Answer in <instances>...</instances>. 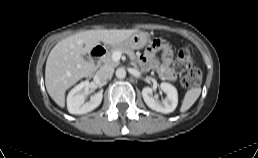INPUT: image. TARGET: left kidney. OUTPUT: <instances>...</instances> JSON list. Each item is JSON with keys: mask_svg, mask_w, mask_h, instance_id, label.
<instances>
[{"mask_svg": "<svg viewBox=\"0 0 258 158\" xmlns=\"http://www.w3.org/2000/svg\"><path fill=\"white\" fill-rule=\"evenodd\" d=\"M161 90L166 94V98L161 102L153 97V89L150 87H144L142 89V96L146 105L164 114L173 112L178 104L177 89L170 83L162 82L160 84Z\"/></svg>", "mask_w": 258, "mask_h": 158, "instance_id": "obj_1", "label": "left kidney"}]
</instances>
